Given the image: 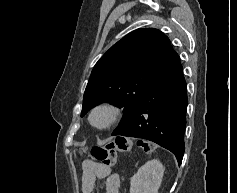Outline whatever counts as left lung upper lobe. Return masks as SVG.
<instances>
[{
    "instance_id": "obj_1",
    "label": "left lung upper lobe",
    "mask_w": 237,
    "mask_h": 193,
    "mask_svg": "<svg viewBox=\"0 0 237 193\" xmlns=\"http://www.w3.org/2000/svg\"><path fill=\"white\" fill-rule=\"evenodd\" d=\"M177 53L161 31L138 29L114 44L94 66L87 84L81 116L97 104L123 108V117L112 135L132 120L141 98Z\"/></svg>"
}]
</instances>
